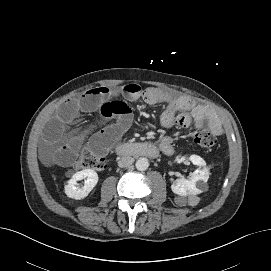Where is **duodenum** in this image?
I'll return each instance as SVG.
<instances>
[{"mask_svg":"<svg viewBox=\"0 0 271 271\" xmlns=\"http://www.w3.org/2000/svg\"><path fill=\"white\" fill-rule=\"evenodd\" d=\"M158 152L159 150L154 144H140L133 147L120 144L116 147L117 155H137L153 158L158 155Z\"/></svg>","mask_w":271,"mask_h":271,"instance_id":"1","label":"duodenum"}]
</instances>
